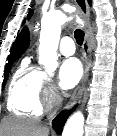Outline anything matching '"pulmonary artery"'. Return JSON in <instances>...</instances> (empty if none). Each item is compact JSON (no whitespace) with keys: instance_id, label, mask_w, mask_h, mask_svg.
<instances>
[{"instance_id":"1","label":"pulmonary artery","mask_w":117,"mask_h":136,"mask_svg":"<svg viewBox=\"0 0 117 136\" xmlns=\"http://www.w3.org/2000/svg\"><path fill=\"white\" fill-rule=\"evenodd\" d=\"M60 52L65 56H71L75 53V43L72 38L63 37L59 45Z\"/></svg>"}]
</instances>
